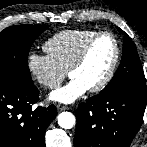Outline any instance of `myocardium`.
<instances>
[{
  "label": "myocardium",
  "mask_w": 147,
  "mask_h": 147,
  "mask_svg": "<svg viewBox=\"0 0 147 147\" xmlns=\"http://www.w3.org/2000/svg\"><path fill=\"white\" fill-rule=\"evenodd\" d=\"M103 36H109L113 43H114V47H115V55H114V59L113 62L107 72V74L105 75V77L94 87L89 88V91L92 93H98L102 90H104L112 81V79L115 76V73L117 71L120 59H121V47H120V43L116 37V35L110 31H99L97 33H95L92 37H90L85 44L83 45V47L81 48L79 54L77 55V57L75 58V60L73 61V63L70 65L69 69H68V75L70 76L72 74L73 71H75L76 69H78L86 60L88 53L91 49V47L93 46V44L96 42V40H98L99 38L103 37Z\"/></svg>",
  "instance_id": "obj_1"
}]
</instances>
